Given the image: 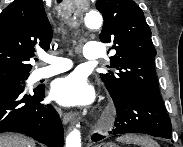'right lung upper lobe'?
I'll use <instances>...</instances> for the list:
<instances>
[{
    "instance_id": "cb5924a9",
    "label": "right lung upper lobe",
    "mask_w": 183,
    "mask_h": 147,
    "mask_svg": "<svg viewBox=\"0 0 183 147\" xmlns=\"http://www.w3.org/2000/svg\"><path fill=\"white\" fill-rule=\"evenodd\" d=\"M52 29L42 0H15L0 14V82L27 77L35 48L49 49Z\"/></svg>"
}]
</instances>
